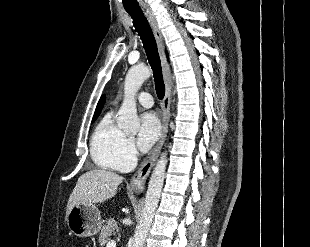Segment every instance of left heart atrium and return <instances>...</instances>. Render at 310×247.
<instances>
[{"label": "left heart atrium", "instance_id": "left-heart-atrium-1", "mask_svg": "<svg viewBox=\"0 0 310 247\" xmlns=\"http://www.w3.org/2000/svg\"><path fill=\"white\" fill-rule=\"evenodd\" d=\"M160 134V123L155 113L147 112L140 117L138 146L142 151L149 150Z\"/></svg>", "mask_w": 310, "mask_h": 247}]
</instances>
